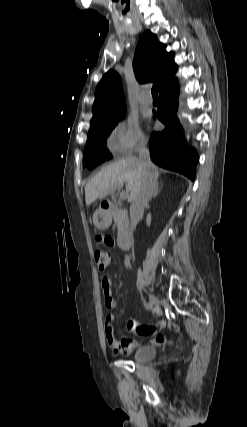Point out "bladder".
I'll use <instances>...</instances> for the list:
<instances>
[{"instance_id": "1", "label": "bladder", "mask_w": 247, "mask_h": 427, "mask_svg": "<svg viewBox=\"0 0 247 427\" xmlns=\"http://www.w3.org/2000/svg\"><path fill=\"white\" fill-rule=\"evenodd\" d=\"M156 355V348L153 345H144L138 347L132 355V359L135 362H148L152 360Z\"/></svg>"}]
</instances>
